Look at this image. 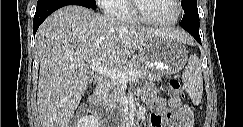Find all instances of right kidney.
<instances>
[{"mask_svg": "<svg viewBox=\"0 0 243 127\" xmlns=\"http://www.w3.org/2000/svg\"><path fill=\"white\" fill-rule=\"evenodd\" d=\"M76 127H99V121L95 116L85 115L78 120Z\"/></svg>", "mask_w": 243, "mask_h": 127, "instance_id": "1", "label": "right kidney"}]
</instances>
